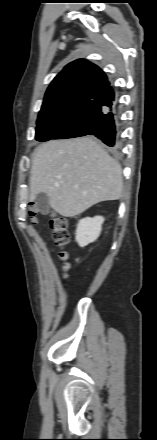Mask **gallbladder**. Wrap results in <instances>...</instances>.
<instances>
[{"label": "gallbladder", "instance_id": "gallbladder-1", "mask_svg": "<svg viewBox=\"0 0 157 440\" xmlns=\"http://www.w3.org/2000/svg\"><path fill=\"white\" fill-rule=\"evenodd\" d=\"M35 203L38 210L42 214H47L49 212V198L45 193H39L36 195Z\"/></svg>", "mask_w": 157, "mask_h": 440}]
</instances>
